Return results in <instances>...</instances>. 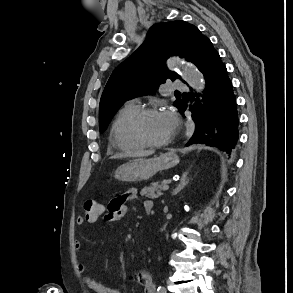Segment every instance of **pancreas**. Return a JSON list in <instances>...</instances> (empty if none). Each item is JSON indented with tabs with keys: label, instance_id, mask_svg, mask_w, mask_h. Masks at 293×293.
I'll list each match as a JSON object with an SVG mask.
<instances>
[{
	"label": "pancreas",
	"instance_id": "obj_1",
	"mask_svg": "<svg viewBox=\"0 0 293 293\" xmlns=\"http://www.w3.org/2000/svg\"><path fill=\"white\" fill-rule=\"evenodd\" d=\"M168 181L154 182L150 187H145L141 190L142 197H148L151 199L159 198L163 195L162 187L167 184Z\"/></svg>",
	"mask_w": 293,
	"mask_h": 293
}]
</instances>
